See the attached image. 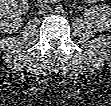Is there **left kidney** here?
Returning <instances> with one entry per match:
<instances>
[{"instance_id":"5707ae66","label":"left kidney","mask_w":111,"mask_h":106,"mask_svg":"<svg viewBox=\"0 0 111 106\" xmlns=\"http://www.w3.org/2000/svg\"><path fill=\"white\" fill-rule=\"evenodd\" d=\"M93 24L99 29L111 28V8L106 5L91 7L89 10Z\"/></svg>"}]
</instances>
